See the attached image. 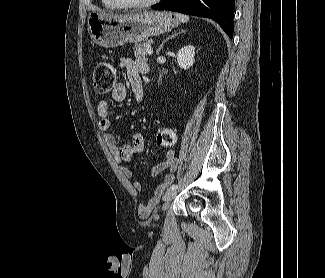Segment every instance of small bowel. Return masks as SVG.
Segmentation results:
<instances>
[{
  "instance_id": "c3829d8e",
  "label": "small bowel",
  "mask_w": 325,
  "mask_h": 278,
  "mask_svg": "<svg viewBox=\"0 0 325 278\" xmlns=\"http://www.w3.org/2000/svg\"><path fill=\"white\" fill-rule=\"evenodd\" d=\"M118 65L121 69L126 71L128 76L129 87L132 91L134 101L136 104H139L142 100L143 94L142 75L148 70L147 63L142 59H137L129 56H122L118 60ZM112 98L116 102H124L127 98V86L124 83L119 82L112 91ZM97 112L99 115V129L101 131H107L110 128L111 120L109 115V104L106 100H101L98 103ZM104 140L111 152L114 154L123 174L127 178L131 179L133 177V171L127 166H125L123 163L132 161L137 154L143 151V134L140 132L135 133L131 141L123 145L118 144L117 138L112 133H106L104 135ZM175 145L176 135L175 144L169 147V150L165 155V160L147 169V172L151 176H156L165 170L168 171V173L164 175L162 182L157 185L154 191L155 197L161 196L165 188L174 180L173 173L177 166ZM134 187L136 190L140 191L142 190L143 185L140 181H135Z\"/></svg>"
}]
</instances>
